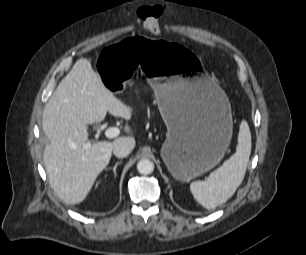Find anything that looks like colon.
<instances>
[{"mask_svg":"<svg viewBox=\"0 0 306 255\" xmlns=\"http://www.w3.org/2000/svg\"><path fill=\"white\" fill-rule=\"evenodd\" d=\"M163 14V8L160 5L145 6L140 10V17L147 29L154 34L159 33V20Z\"/></svg>","mask_w":306,"mask_h":255,"instance_id":"5ec220e1","label":"colon"}]
</instances>
